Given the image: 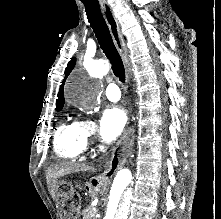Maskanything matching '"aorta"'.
I'll use <instances>...</instances> for the list:
<instances>
[{"label": "aorta", "instance_id": "aorta-1", "mask_svg": "<svg viewBox=\"0 0 221 219\" xmlns=\"http://www.w3.org/2000/svg\"><path fill=\"white\" fill-rule=\"evenodd\" d=\"M94 77H103L109 72V63L105 60H96L88 67ZM70 95L77 97L81 102L86 103L89 97L76 88H71ZM136 172L133 167L120 169L113 181L106 219H128L130 205L134 196V183Z\"/></svg>", "mask_w": 221, "mask_h": 219}]
</instances>
